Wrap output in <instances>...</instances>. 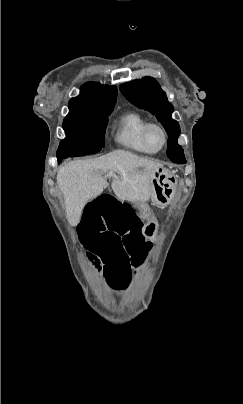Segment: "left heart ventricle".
<instances>
[{"mask_svg":"<svg viewBox=\"0 0 243 404\" xmlns=\"http://www.w3.org/2000/svg\"><path fill=\"white\" fill-rule=\"evenodd\" d=\"M150 139H151L153 145H155V146H159L161 144V140H162L161 134L156 129H152L150 131Z\"/></svg>","mask_w":243,"mask_h":404,"instance_id":"obj_1","label":"left heart ventricle"}]
</instances>
